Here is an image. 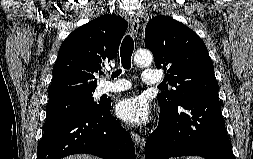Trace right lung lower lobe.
Segmentation results:
<instances>
[{
	"label": "right lung lower lobe",
	"mask_w": 253,
	"mask_h": 159,
	"mask_svg": "<svg viewBox=\"0 0 253 159\" xmlns=\"http://www.w3.org/2000/svg\"><path fill=\"white\" fill-rule=\"evenodd\" d=\"M111 101L96 111L75 113L44 130L37 159H61L79 153L104 159H136L130 134L110 113Z\"/></svg>",
	"instance_id": "98d812e1"
}]
</instances>
